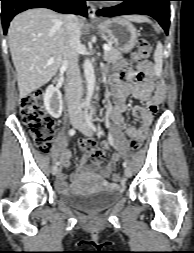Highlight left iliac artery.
Returning <instances> with one entry per match:
<instances>
[{
	"label": "left iliac artery",
	"mask_w": 194,
	"mask_h": 253,
	"mask_svg": "<svg viewBox=\"0 0 194 253\" xmlns=\"http://www.w3.org/2000/svg\"><path fill=\"white\" fill-rule=\"evenodd\" d=\"M86 122L93 131L99 132V130L96 128V126L92 123L91 117L89 115L86 116ZM123 167H125V168L127 167L126 162H123Z\"/></svg>",
	"instance_id": "1"
}]
</instances>
